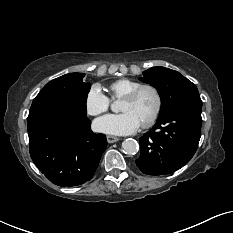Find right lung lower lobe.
Segmentation results:
<instances>
[{"label":"right lung lower lobe","mask_w":233,"mask_h":233,"mask_svg":"<svg viewBox=\"0 0 233 233\" xmlns=\"http://www.w3.org/2000/svg\"><path fill=\"white\" fill-rule=\"evenodd\" d=\"M86 114L65 106L45 105L29 112L30 156L48 180L77 186L90 180L107 146L94 134Z\"/></svg>","instance_id":"right-lung-lower-lobe-1"}]
</instances>
